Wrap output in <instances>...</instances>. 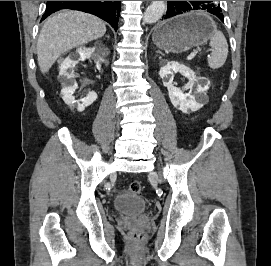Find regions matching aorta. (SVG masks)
I'll list each match as a JSON object with an SVG mask.
<instances>
[{"label":"aorta","instance_id":"obj_1","mask_svg":"<svg viewBox=\"0 0 271 266\" xmlns=\"http://www.w3.org/2000/svg\"><path fill=\"white\" fill-rule=\"evenodd\" d=\"M165 1H152L144 12L143 22L151 24L157 22L165 13Z\"/></svg>","mask_w":271,"mask_h":266}]
</instances>
